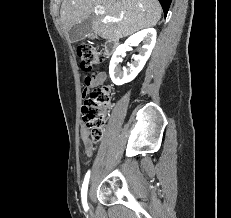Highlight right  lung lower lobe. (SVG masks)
Returning a JSON list of instances; mask_svg holds the SVG:
<instances>
[{"label": "right lung lower lobe", "mask_w": 231, "mask_h": 218, "mask_svg": "<svg viewBox=\"0 0 231 218\" xmlns=\"http://www.w3.org/2000/svg\"><path fill=\"white\" fill-rule=\"evenodd\" d=\"M171 1H172V0H159L161 6H162V8H163V11H164L165 16L167 15V12H168V10H169Z\"/></svg>", "instance_id": "obj_1"}]
</instances>
